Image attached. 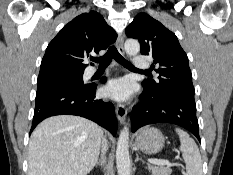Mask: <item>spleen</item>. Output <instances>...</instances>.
I'll use <instances>...</instances> for the list:
<instances>
[{
    "mask_svg": "<svg viewBox=\"0 0 233 175\" xmlns=\"http://www.w3.org/2000/svg\"><path fill=\"white\" fill-rule=\"evenodd\" d=\"M180 138V151L186 164L187 175H202V160L195 141L185 131L176 128Z\"/></svg>",
    "mask_w": 233,
    "mask_h": 175,
    "instance_id": "obj_1",
    "label": "spleen"
}]
</instances>
